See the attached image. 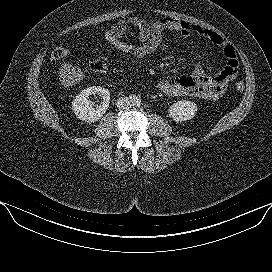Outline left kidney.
Here are the masks:
<instances>
[{"mask_svg": "<svg viewBox=\"0 0 272 272\" xmlns=\"http://www.w3.org/2000/svg\"><path fill=\"white\" fill-rule=\"evenodd\" d=\"M197 105L194 102L180 100L174 103L168 110L170 117L177 122L191 120L196 112Z\"/></svg>", "mask_w": 272, "mask_h": 272, "instance_id": "1", "label": "left kidney"}]
</instances>
